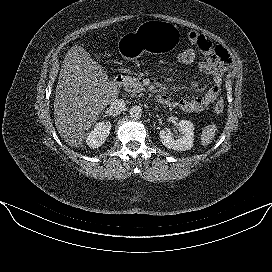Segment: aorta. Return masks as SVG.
<instances>
[{
	"label": "aorta",
	"mask_w": 272,
	"mask_h": 272,
	"mask_svg": "<svg viewBox=\"0 0 272 272\" xmlns=\"http://www.w3.org/2000/svg\"><path fill=\"white\" fill-rule=\"evenodd\" d=\"M130 117L134 120L140 119L142 116V109L140 106H132L129 110Z\"/></svg>",
	"instance_id": "1"
}]
</instances>
